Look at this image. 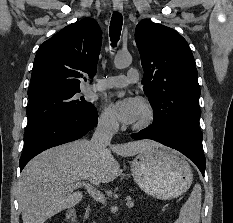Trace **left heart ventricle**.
Returning a JSON list of instances; mask_svg holds the SVG:
<instances>
[{
    "label": "left heart ventricle",
    "mask_w": 233,
    "mask_h": 223,
    "mask_svg": "<svg viewBox=\"0 0 233 223\" xmlns=\"http://www.w3.org/2000/svg\"><path fill=\"white\" fill-rule=\"evenodd\" d=\"M143 121H145V113H144V110L142 109L141 115L136 123L143 122Z\"/></svg>",
    "instance_id": "obj_1"
}]
</instances>
